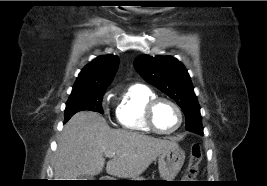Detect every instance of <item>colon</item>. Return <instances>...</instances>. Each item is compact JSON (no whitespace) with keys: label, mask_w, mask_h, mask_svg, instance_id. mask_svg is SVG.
I'll list each match as a JSON object with an SVG mask.
<instances>
[{"label":"colon","mask_w":267,"mask_h":186,"mask_svg":"<svg viewBox=\"0 0 267 186\" xmlns=\"http://www.w3.org/2000/svg\"><path fill=\"white\" fill-rule=\"evenodd\" d=\"M202 160V149L197 143L191 146L190 156L188 159L185 177L187 180H193L198 172V166Z\"/></svg>","instance_id":"obj_1"}]
</instances>
